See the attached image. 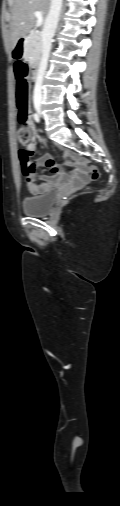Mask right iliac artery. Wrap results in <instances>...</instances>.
Returning <instances> with one entry per match:
<instances>
[{
	"label": "right iliac artery",
	"mask_w": 120,
	"mask_h": 506,
	"mask_svg": "<svg viewBox=\"0 0 120 506\" xmlns=\"http://www.w3.org/2000/svg\"><path fill=\"white\" fill-rule=\"evenodd\" d=\"M33 118H34V120H35L36 122H39V121H40V117H39V115H38L37 113H34V114H33Z\"/></svg>",
	"instance_id": "obj_1"
}]
</instances>
